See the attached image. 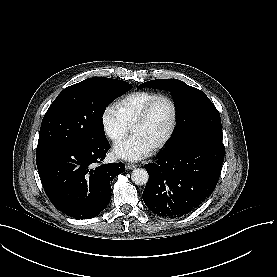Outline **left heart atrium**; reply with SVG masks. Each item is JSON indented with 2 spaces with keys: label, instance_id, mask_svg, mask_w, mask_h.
<instances>
[{
  "label": "left heart atrium",
  "instance_id": "39dd6f15",
  "mask_svg": "<svg viewBox=\"0 0 277 277\" xmlns=\"http://www.w3.org/2000/svg\"><path fill=\"white\" fill-rule=\"evenodd\" d=\"M118 151L120 155L134 160L145 159L151 154L149 142L142 137L132 135H127L118 142Z\"/></svg>",
  "mask_w": 277,
  "mask_h": 277
}]
</instances>
